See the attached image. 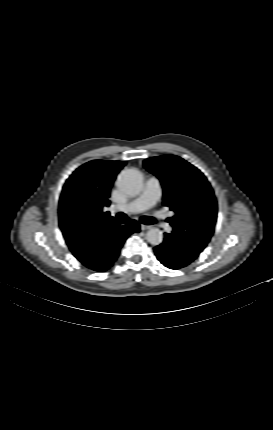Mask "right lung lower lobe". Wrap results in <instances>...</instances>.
Masks as SVG:
<instances>
[{
	"instance_id": "right-lung-lower-lobe-1",
	"label": "right lung lower lobe",
	"mask_w": 273,
	"mask_h": 430,
	"mask_svg": "<svg viewBox=\"0 0 273 430\" xmlns=\"http://www.w3.org/2000/svg\"><path fill=\"white\" fill-rule=\"evenodd\" d=\"M139 231L140 226L134 220L124 226L116 225L101 230L91 239L88 255L79 261L92 270L106 271L118 258L126 238Z\"/></svg>"
}]
</instances>
